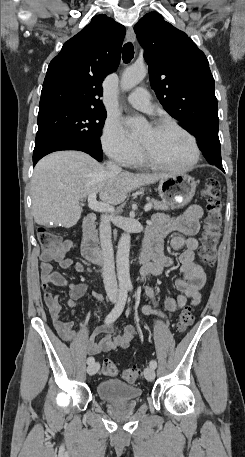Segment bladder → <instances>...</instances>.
<instances>
[{
	"label": "bladder",
	"mask_w": 245,
	"mask_h": 457,
	"mask_svg": "<svg viewBox=\"0 0 245 457\" xmlns=\"http://www.w3.org/2000/svg\"><path fill=\"white\" fill-rule=\"evenodd\" d=\"M142 391L120 380H105L97 386V396L110 404L132 402L139 399Z\"/></svg>",
	"instance_id": "1"
}]
</instances>
